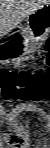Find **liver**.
I'll use <instances>...</instances> for the list:
<instances>
[{
	"mask_svg": "<svg viewBox=\"0 0 50 148\" xmlns=\"http://www.w3.org/2000/svg\"><path fill=\"white\" fill-rule=\"evenodd\" d=\"M49 4V0H1L0 31L7 34L23 19Z\"/></svg>",
	"mask_w": 50,
	"mask_h": 148,
	"instance_id": "6515ba94",
	"label": "liver"
}]
</instances>
